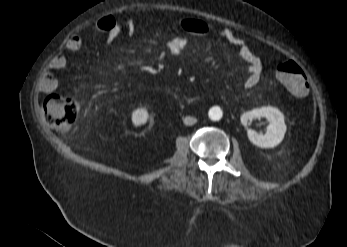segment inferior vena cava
I'll list each match as a JSON object with an SVG mask.
<instances>
[{
	"mask_svg": "<svg viewBox=\"0 0 347 247\" xmlns=\"http://www.w3.org/2000/svg\"><path fill=\"white\" fill-rule=\"evenodd\" d=\"M185 125H193L197 122V119L191 116H187L183 120Z\"/></svg>",
	"mask_w": 347,
	"mask_h": 247,
	"instance_id": "obj_1",
	"label": "inferior vena cava"
}]
</instances>
